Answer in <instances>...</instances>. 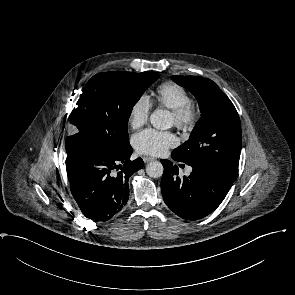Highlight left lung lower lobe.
Listing matches in <instances>:
<instances>
[{"instance_id":"left-lung-lower-lobe-1","label":"left lung lower lobe","mask_w":295,"mask_h":295,"mask_svg":"<svg viewBox=\"0 0 295 295\" xmlns=\"http://www.w3.org/2000/svg\"><path fill=\"white\" fill-rule=\"evenodd\" d=\"M176 161L180 159L172 153ZM164 173L161 191L166 205L179 217L187 220L201 219L213 212L224 200L233 183L208 166L190 165L189 177L180 178L178 167L162 159Z\"/></svg>"}]
</instances>
